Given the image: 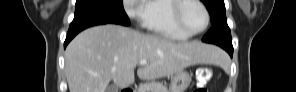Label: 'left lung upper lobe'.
<instances>
[{
    "mask_svg": "<svg viewBox=\"0 0 296 92\" xmlns=\"http://www.w3.org/2000/svg\"><path fill=\"white\" fill-rule=\"evenodd\" d=\"M211 16V28L202 41L219 45L232 46L230 29L227 25L224 0H201Z\"/></svg>",
    "mask_w": 296,
    "mask_h": 92,
    "instance_id": "1",
    "label": "left lung upper lobe"
}]
</instances>
